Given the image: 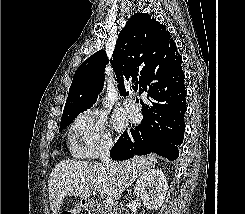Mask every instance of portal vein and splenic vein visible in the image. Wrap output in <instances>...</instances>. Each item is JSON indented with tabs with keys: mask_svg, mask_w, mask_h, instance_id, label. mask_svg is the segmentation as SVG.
Listing matches in <instances>:
<instances>
[{
	"mask_svg": "<svg viewBox=\"0 0 245 214\" xmlns=\"http://www.w3.org/2000/svg\"><path fill=\"white\" fill-rule=\"evenodd\" d=\"M104 204L106 206H110L113 204V198L112 197H106L105 200H104Z\"/></svg>",
	"mask_w": 245,
	"mask_h": 214,
	"instance_id": "1",
	"label": "portal vein and splenic vein"
}]
</instances>
